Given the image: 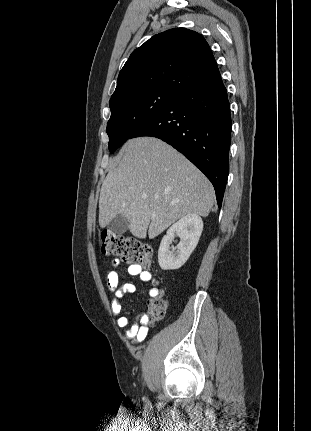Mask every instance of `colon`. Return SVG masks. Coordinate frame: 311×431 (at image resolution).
Segmentation results:
<instances>
[{
    "label": "colon",
    "instance_id": "5ec220e1",
    "mask_svg": "<svg viewBox=\"0 0 311 431\" xmlns=\"http://www.w3.org/2000/svg\"><path fill=\"white\" fill-rule=\"evenodd\" d=\"M101 252L144 268H150L153 263V250L148 244L108 230L101 233ZM165 310L166 301L162 293L150 298L145 313L146 323L156 324L162 319Z\"/></svg>",
    "mask_w": 311,
    "mask_h": 431
}]
</instances>
